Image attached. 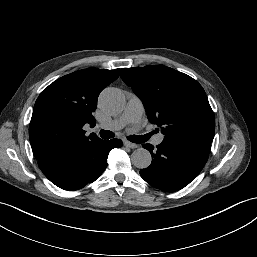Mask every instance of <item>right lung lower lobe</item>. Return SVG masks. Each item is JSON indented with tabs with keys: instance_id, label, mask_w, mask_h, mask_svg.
Masks as SVG:
<instances>
[{
	"instance_id": "obj_1",
	"label": "right lung lower lobe",
	"mask_w": 257,
	"mask_h": 257,
	"mask_svg": "<svg viewBox=\"0 0 257 257\" xmlns=\"http://www.w3.org/2000/svg\"><path fill=\"white\" fill-rule=\"evenodd\" d=\"M119 139L97 140L77 151L67 152L54 160L41 163L44 175L64 190H78L92 183L106 169L109 152L121 147Z\"/></svg>"
}]
</instances>
